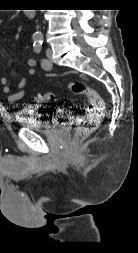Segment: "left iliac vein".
I'll use <instances>...</instances> for the list:
<instances>
[{
    "instance_id": "obj_1",
    "label": "left iliac vein",
    "mask_w": 138,
    "mask_h": 253,
    "mask_svg": "<svg viewBox=\"0 0 138 253\" xmlns=\"http://www.w3.org/2000/svg\"><path fill=\"white\" fill-rule=\"evenodd\" d=\"M46 56H47V58H48V60H49V67H48V69L50 70V69L52 68V63H51L52 51H51L50 48H47V49H46Z\"/></svg>"
}]
</instances>
